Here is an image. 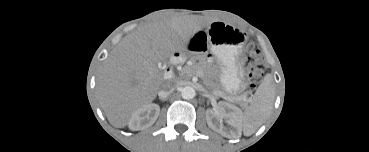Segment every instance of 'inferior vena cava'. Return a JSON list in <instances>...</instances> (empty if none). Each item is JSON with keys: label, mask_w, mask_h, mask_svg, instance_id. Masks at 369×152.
<instances>
[{"label": "inferior vena cava", "mask_w": 369, "mask_h": 152, "mask_svg": "<svg viewBox=\"0 0 369 152\" xmlns=\"http://www.w3.org/2000/svg\"><path fill=\"white\" fill-rule=\"evenodd\" d=\"M177 86H178L177 83L171 80L164 81L159 91L160 98L167 97L170 93H172L177 88Z\"/></svg>", "instance_id": "inferior-vena-cava-1"}]
</instances>
